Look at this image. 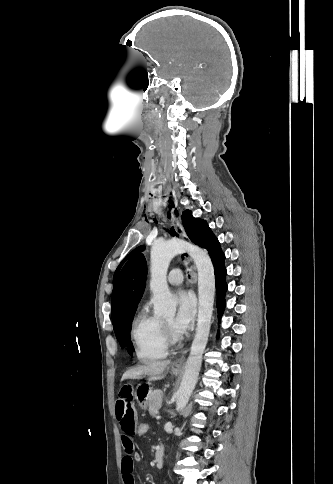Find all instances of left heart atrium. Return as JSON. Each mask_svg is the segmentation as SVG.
Segmentation results:
<instances>
[{"instance_id":"left-heart-atrium-1","label":"left heart atrium","mask_w":333,"mask_h":484,"mask_svg":"<svg viewBox=\"0 0 333 484\" xmlns=\"http://www.w3.org/2000/svg\"><path fill=\"white\" fill-rule=\"evenodd\" d=\"M195 311L194 296L187 291H179L177 293V311L172 321L174 330L179 333L187 331L193 322Z\"/></svg>"}]
</instances>
